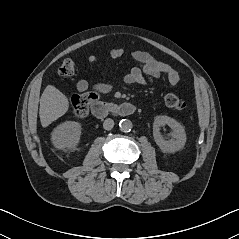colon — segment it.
Masks as SVG:
<instances>
[{
    "mask_svg": "<svg viewBox=\"0 0 239 239\" xmlns=\"http://www.w3.org/2000/svg\"><path fill=\"white\" fill-rule=\"evenodd\" d=\"M76 64L72 59H66L59 67L58 73L62 77H69L75 73ZM97 99L93 92L75 95L72 99L73 113L77 118H84L89 112L90 104ZM165 103L168 107L176 111H185L187 104L173 93L165 96Z\"/></svg>",
    "mask_w": 239,
    "mask_h": 239,
    "instance_id": "obj_1",
    "label": "colon"
}]
</instances>
